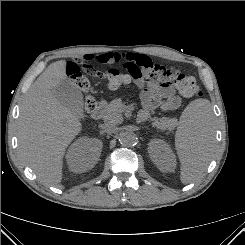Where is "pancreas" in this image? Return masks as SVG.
Instances as JSON below:
<instances>
[{
	"label": "pancreas",
	"instance_id": "cf45deb5",
	"mask_svg": "<svg viewBox=\"0 0 245 245\" xmlns=\"http://www.w3.org/2000/svg\"><path fill=\"white\" fill-rule=\"evenodd\" d=\"M122 111L123 104L120 98H116L110 102L105 114L103 115V120L109 125H116L122 122ZM152 126L161 130H173L177 125L178 121L172 118H152Z\"/></svg>",
	"mask_w": 245,
	"mask_h": 245
}]
</instances>
